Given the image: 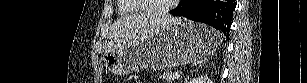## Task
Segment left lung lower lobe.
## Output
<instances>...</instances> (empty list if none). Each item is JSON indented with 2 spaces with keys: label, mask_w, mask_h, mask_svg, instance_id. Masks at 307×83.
<instances>
[{
  "label": "left lung lower lobe",
  "mask_w": 307,
  "mask_h": 83,
  "mask_svg": "<svg viewBox=\"0 0 307 83\" xmlns=\"http://www.w3.org/2000/svg\"><path fill=\"white\" fill-rule=\"evenodd\" d=\"M235 0H181L170 13L193 21L206 23L224 33L229 39Z\"/></svg>",
  "instance_id": "0a47b994"
}]
</instances>
